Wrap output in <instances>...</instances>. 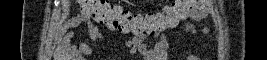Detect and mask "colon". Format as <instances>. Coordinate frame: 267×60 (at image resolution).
Returning <instances> with one entry per match:
<instances>
[{"mask_svg": "<svg viewBox=\"0 0 267 60\" xmlns=\"http://www.w3.org/2000/svg\"><path fill=\"white\" fill-rule=\"evenodd\" d=\"M189 0L175 1L157 14H132L104 0H80L81 14L123 33L155 35L177 26L183 18Z\"/></svg>", "mask_w": 267, "mask_h": 60, "instance_id": "5ec220e1", "label": "colon"}]
</instances>
